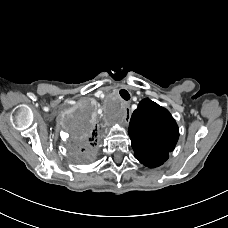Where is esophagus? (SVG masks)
<instances>
[{
  "label": "esophagus",
  "instance_id": "obj_1",
  "mask_svg": "<svg viewBox=\"0 0 228 228\" xmlns=\"http://www.w3.org/2000/svg\"><path fill=\"white\" fill-rule=\"evenodd\" d=\"M125 111L129 113V115L131 114L130 112V108L127 104L124 105Z\"/></svg>",
  "mask_w": 228,
  "mask_h": 228
}]
</instances>
